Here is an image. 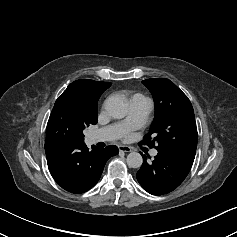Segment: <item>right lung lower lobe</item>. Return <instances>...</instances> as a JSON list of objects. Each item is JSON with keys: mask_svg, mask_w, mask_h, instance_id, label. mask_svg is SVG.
I'll use <instances>...</instances> for the list:
<instances>
[{"mask_svg": "<svg viewBox=\"0 0 237 237\" xmlns=\"http://www.w3.org/2000/svg\"><path fill=\"white\" fill-rule=\"evenodd\" d=\"M117 146L89 150L85 143L46 142L48 168L56 181L66 191L83 193L99 180L106 161L118 154Z\"/></svg>", "mask_w": 237, "mask_h": 237, "instance_id": "98d812e1", "label": "right lung lower lobe"}]
</instances>
